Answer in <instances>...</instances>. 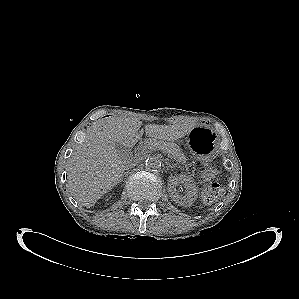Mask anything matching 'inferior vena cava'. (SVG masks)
I'll return each instance as SVG.
<instances>
[{"mask_svg": "<svg viewBox=\"0 0 299 299\" xmlns=\"http://www.w3.org/2000/svg\"><path fill=\"white\" fill-rule=\"evenodd\" d=\"M138 162L136 160L128 161L127 168L135 167Z\"/></svg>", "mask_w": 299, "mask_h": 299, "instance_id": "602c4592", "label": "inferior vena cava"}]
</instances>
